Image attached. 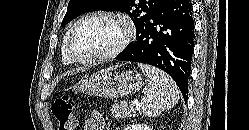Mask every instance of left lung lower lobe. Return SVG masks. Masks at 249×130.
<instances>
[{"label": "left lung lower lobe", "instance_id": "obj_1", "mask_svg": "<svg viewBox=\"0 0 249 130\" xmlns=\"http://www.w3.org/2000/svg\"><path fill=\"white\" fill-rule=\"evenodd\" d=\"M194 25L190 0H163L141 25L136 41L128 45L116 60L139 62L162 69L175 80L186 101Z\"/></svg>", "mask_w": 249, "mask_h": 130}]
</instances>
